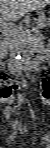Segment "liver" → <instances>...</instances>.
<instances>
[{
    "mask_svg": "<svg viewBox=\"0 0 50 148\" xmlns=\"http://www.w3.org/2000/svg\"><path fill=\"white\" fill-rule=\"evenodd\" d=\"M48 2L49 0H1V20L4 22L17 21L29 11Z\"/></svg>",
    "mask_w": 50,
    "mask_h": 148,
    "instance_id": "liver-1",
    "label": "liver"
}]
</instances>
